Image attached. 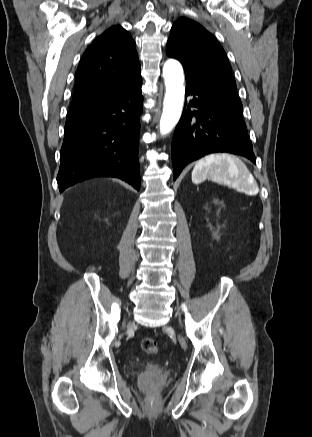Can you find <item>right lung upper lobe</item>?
Returning <instances> with one entry per match:
<instances>
[{
	"label": "right lung upper lobe",
	"instance_id": "obj_1",
	"mask_svg": "<svg viewBox=\"0 0 312 437\" xmlns=\"http://www.w3.org/2000/svg\"><path fill=\"white\" fill-rule=\"evenodd\" d=\"M140 76L132 37L120 25L112 26L92 42L80 60L68 115L116 95Z\"/></svg>",
	"mask_w": 312,
	"mask_h": 437
}]
</instances>
